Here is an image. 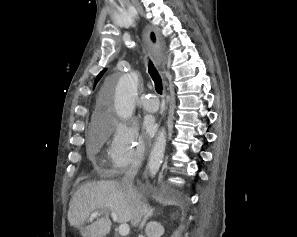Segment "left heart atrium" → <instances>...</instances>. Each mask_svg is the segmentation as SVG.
<instances>
[{"mask_svg": "<svg viewBox=\"0 0 297 237\" xmlns=\"http://www.w3.org/2000/svg\"><path fill=\"white\" fill-rule=\"evenodd\" d=\"M144 128L147 133H152L154 131V119L151 116H147L143 122Z\"/></svg>", "mask_w": 297, "mask_h": 237, "instance_id": "1", "label": "left heart atrium"}]
</instances>
